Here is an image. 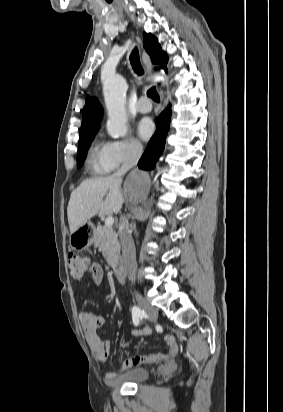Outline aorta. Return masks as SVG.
<instances>
[{"mask_svg": "<svg viewBox=\"0 0 283 412\" xmlns=\"http://www.w3.org/2000/svg\"><path fill=\"white\" fill-rule=\"evenodd\" d=\"M126 90L127 84L119 75L104 81V100L109 117L107 131L112 137H124L127 133ZM147 188L148 178L145 173L134 174L126 184V192L133 198L142 196Z\"/></svg>", "mask_w": 283, "mask_h": 412, "instance_id": "762f6f07", "label": "aorta"}]
</instances>
